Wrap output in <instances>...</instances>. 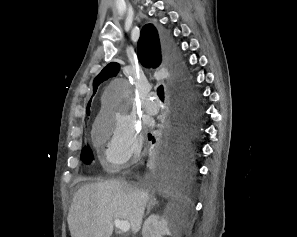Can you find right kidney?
Returning <instances> with one entry per match:
<instances>
[{
  "instance_id": "right-kidney-1",
  "label": "right kidney",
  "mask_w": 297,
  "mask_h": 237,
  "mask_svg": "<svg viewBox=\"0 0 297 237\" xmlns=\"http://www.w3.org/2000/svg\"><path fill=\"white\" fill-rule=\"evenodd\" d=\"M170 235L167 221L158 214L150 215L142 229L143 237H164Z\"/></svg>"
}]
</instances>
